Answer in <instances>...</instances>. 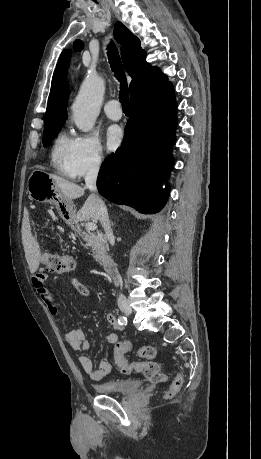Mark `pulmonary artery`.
<instances>
[{"instance_id": "1", "label": "pulmonary artery", "mask_w": 261, "mask_h": 459, "mask_svg": "<svg viewBox=\"0 0 261 459\" xmlns=\"http://www.w3.org/2000/svg\"><path fill=\"white\" fill-rule=\"evenodd\" d=\"M104 111L106 115L112 120L118 121L122 118V109L119 101L116 99L108 101L104 105Z\"/></svg>"}]
</instances>
